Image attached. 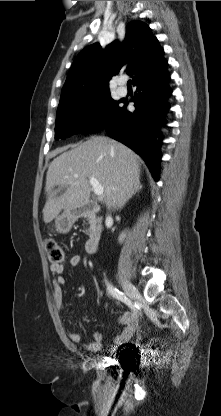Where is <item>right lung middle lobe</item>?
Returning <instances> with one entry per match:
<instances>
[{"instance_id":"obj_1","label":"right lung middle lobe","mask_w":221,"mask_h":416,"mask_svg":"<svg viewBox=\"0 0 221 416\" xmlns=\"http://www.w3.org/2000/svg\"><path fill=\"white\" fill-rule=\"evenodd\" d=\"M120 101L111 98L110 92L59 103L55 139L78 133H95L101 130L119 108Z\"/></svg>"}]
</instances>
